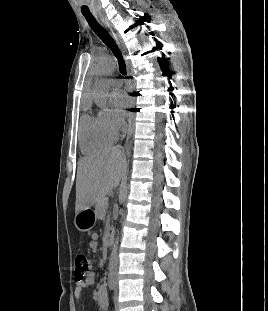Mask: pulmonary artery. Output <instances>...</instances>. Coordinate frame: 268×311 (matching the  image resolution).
Wrapping results in <instances>:
<instances>
[{
    "instance_id": "pulmonary-artery-1",
    "label": "pulmonary artery",
    "mask_w": 268,
    "mask_h": 311,
    "mask_svg": "<svg viewBox=\"0 0 268 311\" xmlns=\"http://www.w3.org/2000/svg\"><path fill=\"white\" fill-rule=\"evenodd\" d=\"M109 84L114 89H118L122 85V80H120V79H110L109 80Z\"/></svg>"
}]
</instances>
